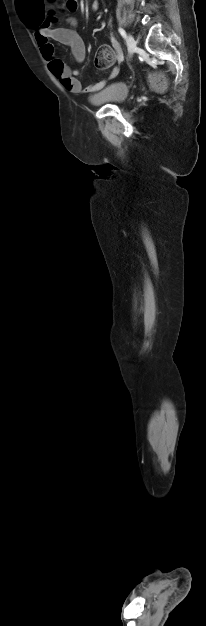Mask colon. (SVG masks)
<instances>
[{
    "label": "colon",
    "instance_id": "5ec220e1",
    "mask_svg": "<svg viewBox=\"0 0 206 626\" xmlns=\"http://www.w3.org/2000/svg\"><path fill=\"white\" fill-rule=\"evenodd\" d=\"M26 20H28V18ZM115 57L116 55L114 49L109 45H103L100 47L96 55L95 65L101 70L108 69L113 64ZM149 81L157 90H163L166 87V80L161 74L149 75Z\"/></svg>",
    "mask_w": 206,
    "mask_h": 626
}]
</instances>
